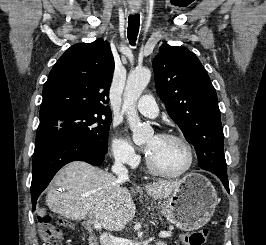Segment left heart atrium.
Instances as JSON below:
<instances>
[{
  "instance_id": "1",
  "label": "left heart atrium",
  "mask_w": 266,
  "mask_h": 245,
  "mask_svg": "<svg viewBox=\"0 0 266 245\" xmlns=\"http://www.w3.org/2000/svg\"><path fill=\"white\" fill-rule=\"evenodd\" d=\"M154 138H156V137H154ZM154 144H155V141H151V142L147 143V145L144 147V152L148 155V157L154 148Z\"/></svg>"
}]
</instances>
